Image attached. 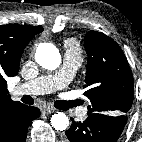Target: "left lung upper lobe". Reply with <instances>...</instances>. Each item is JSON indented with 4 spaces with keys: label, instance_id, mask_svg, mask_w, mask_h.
Here are the masks:
<instances>
[{
    "label": "left lung upper lobe",
    "instance_id": "obj_1",
    "mask_svg": "<svg viewBox=\"0 0 142 142\" xmlns=\"http://www.w3.org/2000/svg\"><path fill=\"white\" fill-rule=\"evenodd\" d=\"M88 55L84 95L90 99L88 114L127 115L133 102V76L120 46L107 35H85Z\"/></svg>",
    "mask_w": 142,
    "mask_h": 142
}]
</instances>
